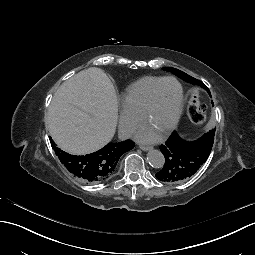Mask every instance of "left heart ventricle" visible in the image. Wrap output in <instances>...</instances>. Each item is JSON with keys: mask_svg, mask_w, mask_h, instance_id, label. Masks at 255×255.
Returning <instances> with one entry per match:
<instances>
[{"mask_svg": "<svg viewBox=\"0 0 255 255\" xmlns=\"http://www.w3.org/2000/svg\"><path fill=\"white\" fill-rule=\"evenodd\" d=\"M179 101V88L174 82L165 83L159 90L150 116L143 122L146 130L162 136L172 122Z\"/></svg>", "mask_w": 255, "mask_h": 255, "instance_id": "1", "label": "left heart ventricle"}]
</instances>
